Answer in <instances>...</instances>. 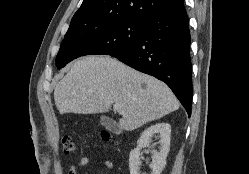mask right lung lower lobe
I'll list each match as a JSON object with an SVG mask.
<instances>
[{"label": "right lung lower lobe", "mask_w": 249, "mask_h": 174, "mask_svg": "<svg viewBox=\"0 0 249 174\" xmlns=\"http://www.w3.org/2000/svg\"><path fill=\"white\" fill-rule=\"evenodd\" d=\"M189 22L185 9L149 18L141 37L120 53H109L165 82L191 115L192 80Z\"/></svg>", "instance_id": "1"}]
</instances>
